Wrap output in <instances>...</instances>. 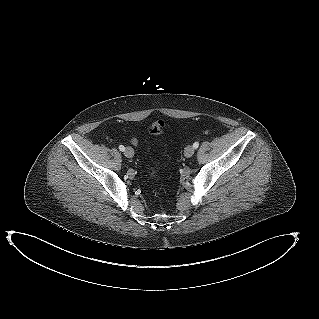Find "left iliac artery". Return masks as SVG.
I'll list each match as a JSON object with an SVG mask.
<instances>
[{"instance_id":"left-iliac-artery-1","label":"left iliac artery","mask_w":319,"mask_h":319,"mask_svg":"<svg viewBox=\"0 0 319 319\" xmlns=\"http://www.w3.org/2000/svg\"><path fill=\"white\" fill-rule=\"evenodd\" d=\"M198 146H199V142L196 141V142L193 144V147H194V149H197Z\"/></svg>"}]
</instances>
